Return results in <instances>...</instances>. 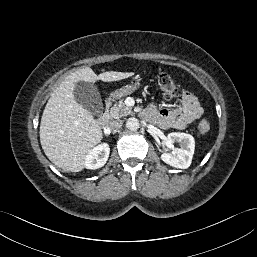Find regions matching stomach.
<instances>
[{"label": "stomach", "instance_id": "0dacf381", "mask_svg": "<svg viewBox=\"0 0 257 257\" xmlns=\"http://www.w3.org/2000/svg\"><path fill=\"white\" fill-rule=\"evenodd\" d=\"M140 83L136 82L131 85H126L120 89L115 90L111 93V97L114 99L120 98L122 96H126L128 94H131L133 91H135L139 87Z\"/></svg>", "mask_w": 257, "mask_h": 257}]
</instances>
